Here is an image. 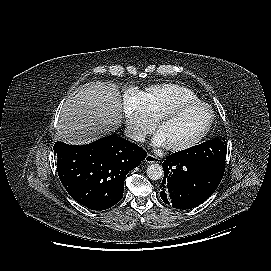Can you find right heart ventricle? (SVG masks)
<instances>
[{
	"label": "right heart ventricle",
	"instance_id": "obj_1",
	"mask_svg": "<svg viewBox=\"0 0 271 271\" xmlns=\"http://www.w3.org/2000/svg\"><path fill=\"white\" fill-rule=\"evenodd\" d=\"M144 95L146 108L152 119L176 104L198 100L193 91L173 83L152 85L145 90Z\"/></svg>",
	"mask_w": 271,
	"mask_h": 271
}]
</instances>
